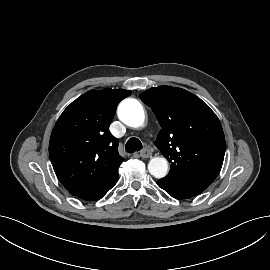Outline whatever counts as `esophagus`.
<instances>
[{
  "instance_id": "34e87169",
  "label": "esophagus",
  "mask_w": 270,
  "mask_h": 270,
  "mask_svg": "<svg viewBox=\"0 0 270 270\" xmlns=\"http://www.w3.org/2000/svg\"><path fill=\"white\" fill-rule=\"evenodd\" d=\"M151 155H152V152L147 148L140 151V156L142 158H149Z\"/></svg>"
}]
</instances>
